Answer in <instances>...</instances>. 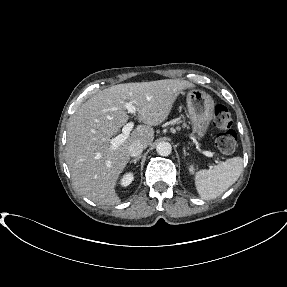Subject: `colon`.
Instances as JSON below:
<instances>
[{
	"label": "colon",
	"instance_id": "5ec220e1",
	"mask_svg": "<svg viewBox=\"0 0 287 287\" xmlns=\"http://www.w3.org/2000/svg\"><path fill=\"white\" fill-rule=\"evenodd\" d=\"M233 120L229 110L218 105L214 110L213 124L216 128L223 130L216 137V146L225 155L232 154L237 146V134L231 129Z\"/></svg>",
	"mask_w": 287,
	"mask_h": 287
}]
</instances>
